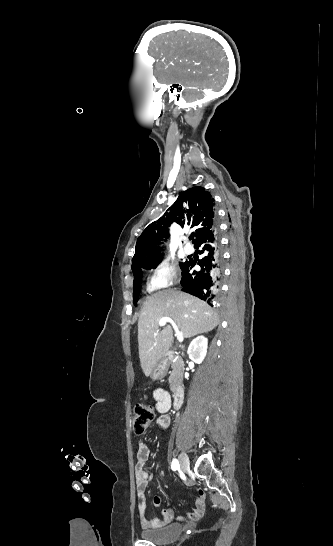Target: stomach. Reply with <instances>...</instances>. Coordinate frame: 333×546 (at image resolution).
Segmentation results:
<instances>
[{
	"label": "stomach",
	"instance_id": "0dacf381",
	"mask_svg": "<svg viewBox=\"0 0 333 546\" xmlns=\"http://www.w3.org/2000/svg\"><path fill=\"white\" fill-rule=\"evenodd\" d=\"M167 371H168V359L166 356H164L154 366L150 376L153 380H159L166 376Z\"/></svg>",
	"mask_w": 333,
	"mask_h": 546
}]
</instances>
